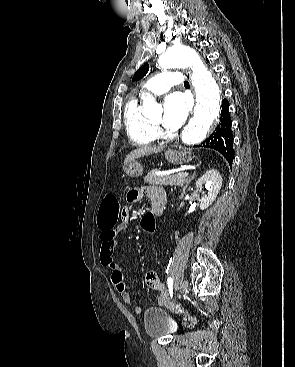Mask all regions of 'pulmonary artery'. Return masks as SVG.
<instances>
[{"mask_svg": "<svg viewBox=\"0 0 295 367\" xmlns=\"http://www.w3.org/2000/svg\"><path fill=\"white\" fill-rule=\"evenodd\" d=\"M182 83V75L179 72L165 71L152 77L144 86V90L154 95L163 94L175 85Z\"/></svg>", "mask_w": 295, "mask_h": 367, "instance_id": "obj_1", "label": "pulmonary artery"}]
</instances>
